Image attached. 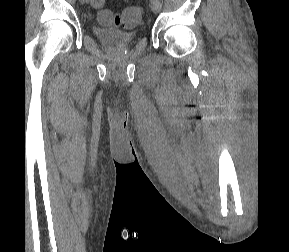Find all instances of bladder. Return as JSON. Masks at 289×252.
Listing matches in <instances>:
<instances>
[{"label":"bladder","mask_w":289,"mask_h":252,"mask_svg":"<svg viewBox=\"0 0 289 252\" xmlns=\"http://www.w3.org/2000/svg\"><path fill=\"white\" fill-rule=\"evenodd\" d=\"M93 30L103 44L111 47L127 46L133 43L138 37L137 31H121L100 26H95Z\"/></svg>","instance_id":"obj_1"}]
</instances>
